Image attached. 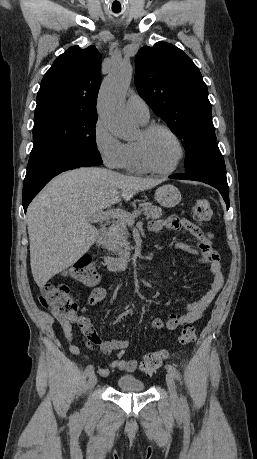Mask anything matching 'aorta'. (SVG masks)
Segmentation results:
<instances>
[{
  "instance_id": "1",
  "label": "aorta",
  "mask_w": 257,
  "mask_h": 459,
  "mask_svg": "<svg viewBox=\"0 0 257 459\" xmlns=\"http://www.w3.org/2000/svg\"><path fill=\"white\" fill-rule=\"evenodd\" d=\"M132 71L129 63L117 64L103 81L98 100V111L102 122L114 136L127 141L132 140L136 135L135 125L124 108Z\"/></svg>"
}]
</instances>
